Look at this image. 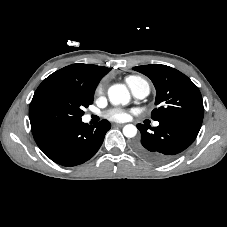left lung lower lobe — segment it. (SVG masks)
<instances>
[{
    "instance_id": "0a47b994",
    "label": "left lung lower lobe",
    "mask_w": 227,
    "mask_h": 227,
    "mask_svg": "<svg viewBox=\"0 0 227 227\" xmlns=\"http://www.w3.org/2000/svg\"><path fill=\"white\" fill-rule=\"evenodd\" d=\"M141 139L134 144L135 152L143 159L164 164L173 160L196 139L201 124L181 119L159 121V126L150 128L138 124Z\"/></svg>"
}]
</instances>
